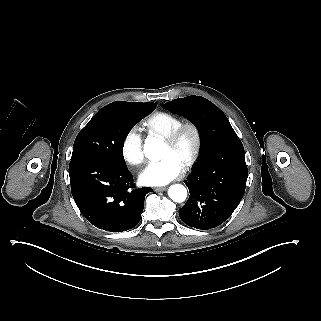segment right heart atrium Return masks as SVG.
Wrapping results in <instances>:
<instances>
[{
    "mask_svg": "<svg viewBox=\"0 0 321 321\" xmlns=\"http://www.w3.org/2000/svg\"><path fill=\"white\" fill-rule=\"evenodd\" d=\"M120 152L123 160L131 165H137L144 160L143 137L139 126L127 130L121 140Z\"/></svg>",
    "mask_w": 321,
    "mask_h": 321,
    "instance_id": "right-heart-atrium-1",
    "label": "right heart atrium"
}]
</instances>
